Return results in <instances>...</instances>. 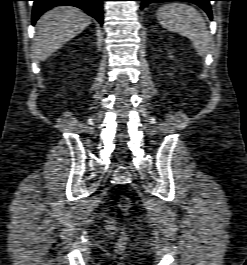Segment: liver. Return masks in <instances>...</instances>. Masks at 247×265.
I'll use <instances>...</instances> for the list:
<instances>
[{
    "instance_id": "1",
    "label": "liver",
    "mask_w": 247,
    "mask_h": 265,
    "mask_svg": "<svg viewBox=\"0 0 247 265\" xmlns=\"http://www.w3.org/2000/svg\"><path fill=\"white\" fill-rule=\"evenodd\" d=\"M90 23L91 18L76 7L59 6L47 11L36 23L32 46L35 59L45 61Z\"/></svg>"
}]
</instances>
